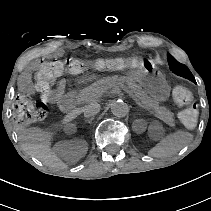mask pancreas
Returning a JSON list of instances; mask_svg holds the SVG:
<instances>
[{"mask_svg":"<svg viewBox=\"0 0 211 211\" xmlns=\"http://www.w3.org/2000/svg\"><path fill=\"white\" fill-rule=\"evenodd\" d=\"M120 82L128 84V86L133 92V99L137 103H141L144 106H146V109L148 111L154 113V116L156 118L161 119L170 127L175 126V118L171 114L170 110L154 105L152 100L149 99L147 95L144 93L141 86L137 84L132 78L118 77L117 80L114 82L111 79H106L105 81L98 83L96 86L91 87L89 90H86V91L84 90L80 94V99L87 103H92L95 101L96 95H99L101 92L108 90L109 88H111L112 86H115L117 83H120Z\"/></svg>","mask_w":211,"mask_h":211,"instance_id":"obj_1","label":"pancreas"}]
</instances>
